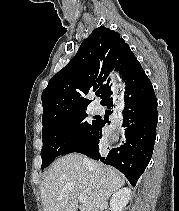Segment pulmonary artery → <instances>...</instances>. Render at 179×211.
Here are the masks:
<instances>
[{"label": "pulmonary artery", "instance_id": "e3ab8cb5", "mask_svg": "<svg viewBox=\"0 0 179 211\" xmlns=\"http://www.w3.org/2000/svg\"><path fill=\"white\" fill-rule=\"evenodd\" d=\"M95 111L97 113H101L103 111V107L100 104L95 105Z\"/></svg>", "mask_w": 179, "mask_h": 211}]
</instances>
